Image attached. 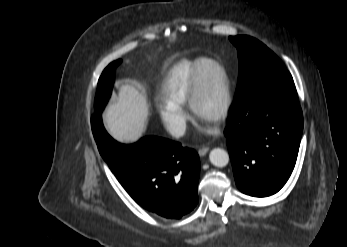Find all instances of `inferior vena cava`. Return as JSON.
Segmentation results:
<instances>
[{"label": "inferior vena cava", "mask_w": 347, "mask_h": 247, "mask_svg": "<svg viewBox=\"0 0 347 247\" xmlns=\"http://www.w3.org/2000/svg\"><path fill=\"white\" fill-rule=\"evenodd\" d=\"M167 130L169 133L176 137L179 138L185 134L186 131V123L185 122H172L169 123L167 126Z\"/></svg>", "instance_id": "602c4592"}]
</instances>
